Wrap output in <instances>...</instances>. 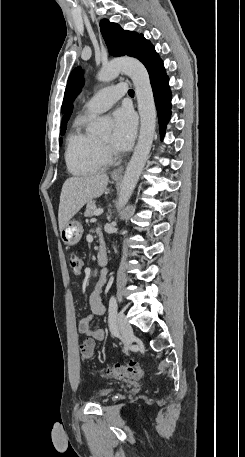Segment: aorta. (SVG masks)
Instances as JSON below:
<instances>
[{
    "label": "aorta",
    "instance_id": "aorta-1",
    "mask_svg": "<svg viewBox=\"0 0 245 457\" xmlns=\"http://www.w3.org/2000/svg\"><path fill=\"white\" fill-rule=\"evenodd\" d=\"M123 71L133 81L140 114V132L137 145L127 165L118 199V207H124L131 197L141 172L148 159L156 129V108L149 74L144 65L133 58H121L111 61L98 73L102 82L115 79ZM111 125L107 117H98L92 126L95 133L106 132Z\"/></svg>",
    "mask_w": 245,
    "mask_h": 457
}]
</instances>
